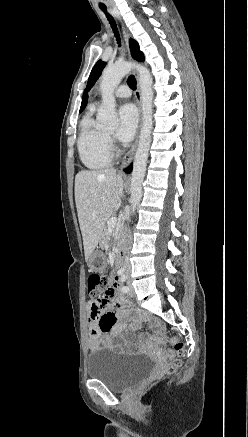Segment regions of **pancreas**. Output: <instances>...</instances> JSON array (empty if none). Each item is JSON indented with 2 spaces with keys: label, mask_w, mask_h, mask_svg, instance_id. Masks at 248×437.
Segmentation results:
<instances>
[{
  "label": "pancreas",
  "mask_w": 248,
  "mask_h": 437,
  "mask_svg": "<svg viewBox=\"0 0 248 437\" xmlns=\"http://www.w3.org/2000/svg\"><path fill=\"white\" fill-rule=\"evenodd\" d=\"M108 221V220H107ZM107 228H108V224H107V222L105 223V227H104V233H106L107 232Z\"/></svg>",
  "instance_id": "pancreas-1"
}]
</instances>
